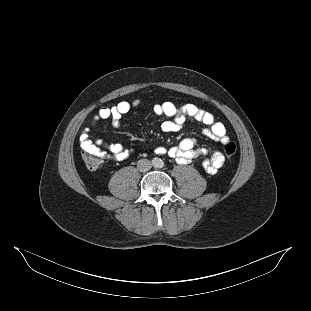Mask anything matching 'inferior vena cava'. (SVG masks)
Wrapping results in <instances>:
<instances>
[{
	"mask_svg": "<svg viewBox=\"0 0 311 311\" xmlns=\"http://www.w3.org/2000/svg\"><path fill=\"white\" fill-rule=\"evenodd\" d=\"M152 167V164L149 160L147 159H141L137 163V168L141 172H146L149 171Z\"/></svg>",
	"mask_w": 311,
	"mask_h": 311,
	"instance_id": "obj_1",
	"label": "inferior vena cava"
}]
</instances>
